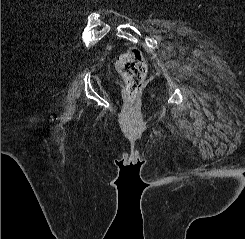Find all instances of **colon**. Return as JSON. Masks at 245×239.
I'll use <instances>...</instances> for the list:
<instances>
[{
	"label": "colon",
	"mask_w": 245,
	"mask_h": 239,
	"mask_svg": "<svg viewBox=\"0 0 245 239\" xmlns=\"http://www.w3.org/2000/svg\"><path fill=\"white\" fill-rule=\"evenodd\" d=\"M116 69L125 81L129 100L133 101L142 89L147 73V63L141 51L131 47L122 53L117 58Z\"/></svg>",
	"instance_id": "colon-1"
}]
</instances>
